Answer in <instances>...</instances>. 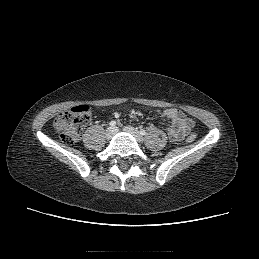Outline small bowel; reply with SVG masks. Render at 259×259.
Listing matches in <instances>:
<instances>
[{
    "label": "small bowel",
    "instance_id": "obj_1",
    "mask_svg": "<svg viewBox=\"0 0 259 259\" xmlns=\"http://www.w3.org/2000/svg\"><path fill=\"white\" fill-rule=\"evenodd\" d=\"M162 122L166 123V131L171 141H181L194 127V121L184 112L176 108L158 111Z\"/></svg>",
    "mask_w": 259,
    "mask_h": 259
}]
</instances>
